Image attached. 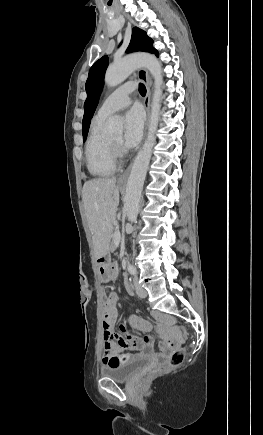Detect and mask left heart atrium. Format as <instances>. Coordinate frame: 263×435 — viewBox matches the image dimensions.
<instances>
[{
    "label": "left heart atrium",
    "instance_id": "left-heart-atrium-1",
    "mask_svg": "<svg viewBox=\"0 0 263 435\" xmlns=\"http://www.w3.org/2000/svg\"><path fill=\"white\" fill-rule=\"evenodd\" d=\"M144 117L140 109L133 108L125 115V133L123 144L126 148L135 147L141 140Z\"/></svg>",
    "mask_w": 263,
    "mask_h": 435
}]
</instances>
